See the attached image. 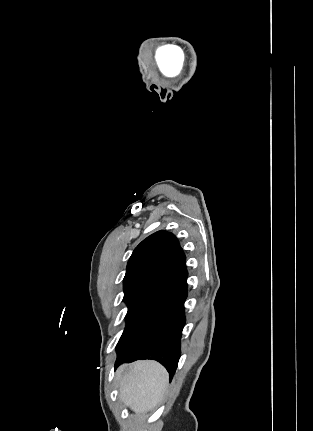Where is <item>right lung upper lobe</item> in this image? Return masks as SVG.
Returning <instances> with one entry per match:
<instances>
[{"instance_id": "cb5924a9", "label": "right lung upper lobe", "mask_w": 313, "mask_h": 431, "mask_svg": "<svg viewBox=\"0 0 313 431\" xmlns=\"http://www.w3.org/2000/svg\"><path fill=\"white\" fill-rule=\"evenodd\" d=\"M185 255L176 237L158 231L133 251L123 280L124 297H149L185 265Z\"/></svg>"}]
</instances>
